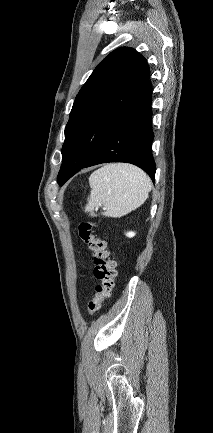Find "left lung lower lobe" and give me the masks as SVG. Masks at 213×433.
I'll return each mask as SVG.
<instances>
[{
	"label": "left lung lower lobe",
	"mask_w": 213,
	"mask_h": 433,
	"mask_svg": "<svg viewBox=\"0 0 213 433\" xmlns=\"http://www.w3.org/2000/svg\"><path fill=\"white\" fill-rule=\"evenodd\" d=\"M151 94L152 87L148 79L83 168L108 162H127L143 169L154 182L156 166L151 150Z\"/></svg>",
	"instance_id": "left-lung-lower-lobe-1"
}]
</instances>
